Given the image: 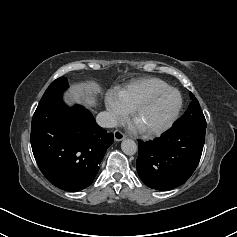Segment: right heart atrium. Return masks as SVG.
Instances as JSON below:
<instances>
[{
  "label": "right heart atrium",
  "mask_w": 237,
  "mask_h": 237,
  "mask_svg": "<svg viewBox=\"0 0 237 237\" xmlns=\"http://www.w3.org/2000/svg\"><path fill=\"white\" fill-rule=\"evenodd\" d=\"M106 108L112 124H118L124 121L128 115V111L116 99L114 95H109L106 99Z\"/></svg>",
  "instance_id": "1"
}]
</instances>
